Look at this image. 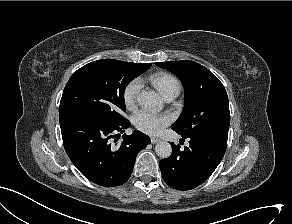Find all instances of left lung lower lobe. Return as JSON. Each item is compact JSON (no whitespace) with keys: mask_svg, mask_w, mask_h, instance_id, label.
Masks as SVG:
<instances>
[{"mask_svg":"<svg viewBox=\"0 0 292 224\" xmlns=\"http://www.w3.org/2000/svg\"><path fill=\"white\" fill-rule=\"evenodd\" d=\"M189 139V146L180 150L172 143L170 157L160 160L163 180L174 189L189 190L201 185L214 172L226 151L227 141L196 136Z\"/></svg>","mask_w":292,"mask_h":224,"instance_id":"obj_1","label":"left lung lower lobe"}]
</instances>
